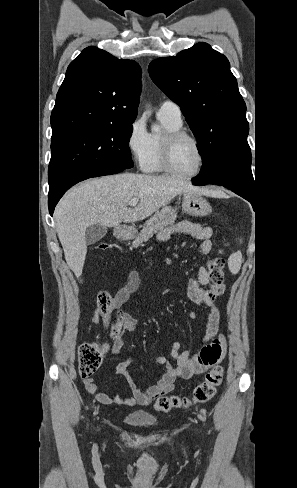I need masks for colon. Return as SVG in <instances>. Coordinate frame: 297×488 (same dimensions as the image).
<instances>
[{
	"label": "colon",
	"instance_id": "colon-1",
	"mask_svg": "<svg viewBox=\"0 0 297 488\" xmlns=\"http://www.w3.org/2000/svg\"><path fill=\"white\" fill-rule=\"evenodd\" d=\"M99 250L118 249V246L112 243L102 242L97 245ZM208 273L210 280L221 285L223 282V259L220 255L213 257L208 263ZM97 312L105 317H109L113 312V298L107 291H101L97 298ZM119 326L113 327L112 335H117ZM107 346L105 344L85 343L78 349L79 373L81 377L92 376L101 366L104 353ZM223 379V367L215 365L207 372L203 381H201L193 390L189 397L176 394L164 395L157 399L155 409L159 412H168L175 408H187L192 404H203L209 401L216 393L217 388Z\"/></svg>",
	"mask_w": 297,
	"mask_h": 488
}]
</instances>
